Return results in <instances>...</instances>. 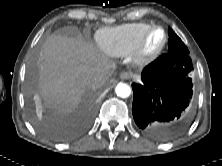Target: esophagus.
Returning a JSON list of instances; mask_svg holds the SVG:
<instances>
[{
	"mask_svg": "<svg viewBox=\"0 0 222 166\" xmlns=\"http://www.w3.org/2000/svg\"><path fill=\"white\" fill-rule=\"evenodd\" d=\"M130 76H131V75H130L129 72H125V71H124V72H121V73H120V78L123 79V80L129 79Z\"/></svg>",
	"mask_w": 222,
	"mask_h": 166,
	"instance_id": "obj_1",
	"label": "esophagus"
}]
</instances>
